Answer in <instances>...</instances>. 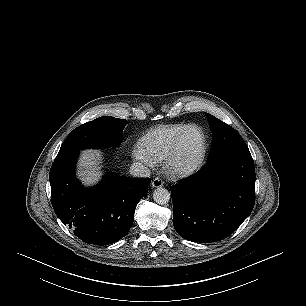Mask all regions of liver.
<instances>
[{
  "mask_svg": "<svg viewBox=\"0 0 306 306\" xmlns=\"http://www.w3.org/2000/svg\"><path fill=\"white\" fill-rule=\"evenodd\" d=\"M100 152L88 150L85 151L80 160V176L86 184H93L97 181L99 177V161H100Z\"/></svg>",
  "mask_w": 306,
  "mask_h": 306,
  "instance_id": "obj_1",
  "label": "liver"
}]
</instances>
